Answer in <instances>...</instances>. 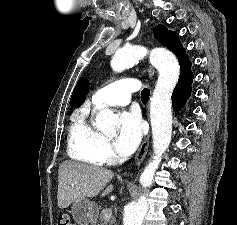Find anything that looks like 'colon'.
<instances>
[{
  "label": "colon",
  "mask_w": 237,
  "mask_h": 225,
  "mask_svg": "<svg viewBox=\"0 0 237 225\" xmlns=\"http://www.w3.org/2000/svg\"><path fill=\"white\" fill-rule=\"evenodd\" d=\"M57 225H75L71 219L66 215L59 216L57 220Z\"/></svg>",
  "instance_id": "5ec220e1"
}]
</instances>
